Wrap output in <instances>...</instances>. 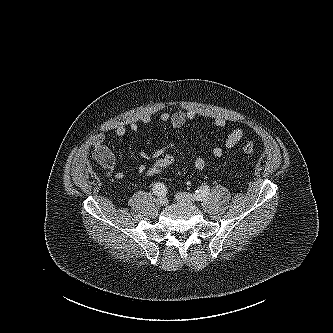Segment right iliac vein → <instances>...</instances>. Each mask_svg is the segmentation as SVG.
<instances>
[{
	"label": "right iliac vein",
	"mask_w": 333,
	"mask_h": 333,
	"mask_svg": "<svg viewBox=\"0 0 333 333\" xmlns=\"http://www.w3.org/2000/svg\"><path fill=\"white\" fill-rule=\"evenodd\" d=\"M167 203H168V201L164 196L158 197V199H157V204L158 205L165 206V205H167Z\"/></svg>",
	"instance_id": "right-iliac-vein-1"
}]
</instances>
